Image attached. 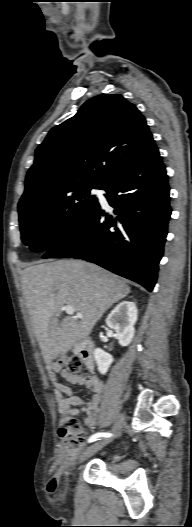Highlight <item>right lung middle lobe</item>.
<instances>
[{
    "label": "right lung middle lobe",
    "instance_id": "right-lung-middle-lobe-1",
    "mask_svg": "<svg viewBox=\"0 0 192 527\" xmlns=\"http://www.w3.org/2000/svg\"><path fill=\"white\" fill-rule=\"evenodd\" d=\"M101 186L82 184L49 199L18 206L23 243L35 252L49 251L60 244L88 218L98 203L90 190Z\"/></svg>",
    "mask_w": 192,
    "mask_h": 527
}]
</instances>
